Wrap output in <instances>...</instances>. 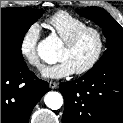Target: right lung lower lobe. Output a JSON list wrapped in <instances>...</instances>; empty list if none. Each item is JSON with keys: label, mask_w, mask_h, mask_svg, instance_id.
I'll return each mask as SVG.
<instances>
[{"label": "right lung lower lobe", "mask_w": 123, "mask_h": 123, "mask_svg": "<svg viewBox=\"0 0 123 123\" xmlns=\"http://www.w3.org/2000/svg\"><path fill=\"white\" fill-rule=\"evenodd\" d=\"M49 91L26 63L1 57V123H28L32 109Z\"/></svg>", "instance_id": "98d812e1"}]
</instances>
